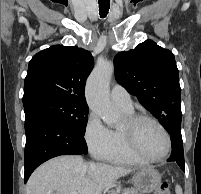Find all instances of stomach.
Returning <instances> with one entry per match:
<instances>
[{"label": "stomach", "mask_w": 201, "mask_h": 194, "mask_svg": "<svg viewBox=\"0 0 201 194\" xmlns=\"http://www.w3.org/2000/svg\"><path fill=\"white\" fill-rule=\"evenodd\" d=\"M132 182L140 194H149L160 185L161 175L152 167H142L134 171Z\"/></svg>", "instance_id": "stomach-1"}]
</instances>
